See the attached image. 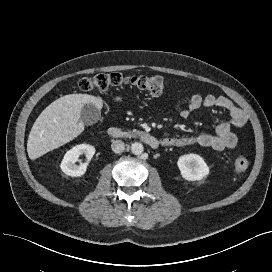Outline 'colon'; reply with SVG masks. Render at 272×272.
I'll return each instance as SVG.
<instances>
[{
	"label": "colon",
	"mask_w": 272,
	"mask_h": 272,
	"mask_svg": "<svg viewBox=\"0 0 272 272\" xmlns=\"http://www.w3.org/2000/svg\"><path fill=\"white\" fill-rule=\"evenodd\" d=\"M169 82L162 76H125L120 73H104L92 77L82 78L78 86L84 92H106L112 88L131 86L144 90L152 95L162 94ZM249 167V160L245 155H236L233 160V169L237 173L245 172Z\"/></svg>",
	"instance_id": "1"
}]
</instances>
